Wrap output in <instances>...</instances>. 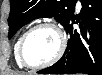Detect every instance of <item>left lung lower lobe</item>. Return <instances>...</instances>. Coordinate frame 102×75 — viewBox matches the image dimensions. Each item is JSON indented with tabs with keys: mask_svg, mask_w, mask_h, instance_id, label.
I'll list each match as a JSON object with an SVG mask.
<instances>
[{
	"mask_svg": "<svg viewBox=\"0 0 102 75\" xmlns=\"http://www.w3.org/2000/svg\"><path fill=\"white\" fill-rule=\"evenodd\" d=\"M80 18L72 14L64 25L69 34L68 46L54 65L41 74L102 75V0H81ZM80 21V32L73 25Z\"/></svg>",
	"mask_w": 102,
	"mask_h": 75,
	"instance_id": "0a47b994",
	"label": "left lung lower lobe"
}]
</instances>
